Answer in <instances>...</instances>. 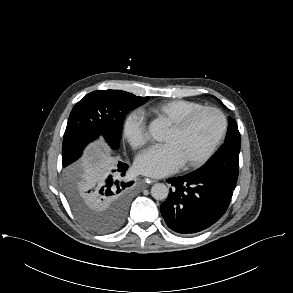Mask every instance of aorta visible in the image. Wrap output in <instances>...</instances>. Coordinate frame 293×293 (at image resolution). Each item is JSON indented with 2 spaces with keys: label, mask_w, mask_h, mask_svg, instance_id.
<instances>
[{
  "label": "aorta",
  "mask_w": 293,
  "mask_h": 293,
  "mask_svg": "<svg viewBox=\"0 0 293 293\" xmlns=\"http://www.w3.org/2000/svg\"><path fill=\"white\" fill-rule=\"evenodd\" d=\"M148 131L155 140H160L164 134V126L160 121L155 120L150 123ZM168 194L169 189L163 183H156L151 188V195L156 200H164L168 197Z\"/></svg>",
  "instance_id": "1"
}]
</instances>
